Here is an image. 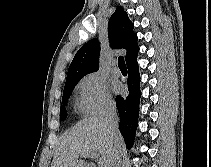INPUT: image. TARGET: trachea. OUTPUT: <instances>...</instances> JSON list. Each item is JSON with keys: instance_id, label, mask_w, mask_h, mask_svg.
<instances>
[{"instance_id": "1", "label": "trachea", "mask_w": 211, "mask_h": 167, "mask_svg": "<svg viewBox=\"0 0 211 167\" xmlns=\"http://www.w3.org/2000/svg\"><path fill=\"white\" fill-rule=\"evenodd\" d=\"M118 66L120 69H126V64H125L123 56L118 57Z\"/></svg>"}]
</instances>
